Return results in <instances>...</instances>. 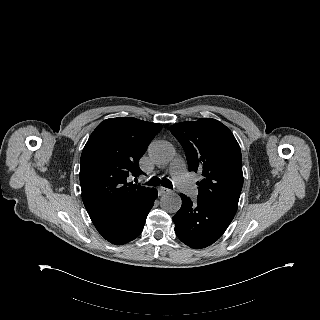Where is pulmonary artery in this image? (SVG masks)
<instances>
[{
    "mask_svg": "<svg viewBox=\"0 0 320 320\" xmlns=\"http://www.w3.org/2000/svg\"><path fill=\"white\" fill-rule=\"evenodd\" d=\"M169 172L173 176L175 183L187 196L192 198L197 196V188L188 176L183 158L176 157L170 164Z\"/></svg>",
    "mask_w": 320,
    "mask_h": 320,
    "instance_id": "e3ab8cb5",
    "label": "pulmonary artery"
}]
</instances>
